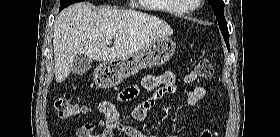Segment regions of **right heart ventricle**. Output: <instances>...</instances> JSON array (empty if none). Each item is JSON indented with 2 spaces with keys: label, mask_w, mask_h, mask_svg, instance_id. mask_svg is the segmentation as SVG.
<instances>
[{
  "label": "right heart ventricle",
  "mask_w": 280,
  "mask_h": 137,
  "mask_svg": "<svg viewBox=\"0 0 280 137\" xmlns=\"http://www.w3.org/2000/svg\"><path fill=\"white\" fill-rule=\"evenodd\" d=\"M164 3L163 8L172 16H182L189 12L188 8L180 0H154Z\"/></svg>",
  "instance_id": "1"
}]
</instances>
